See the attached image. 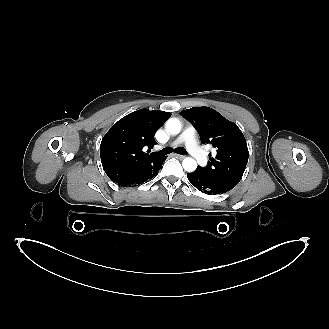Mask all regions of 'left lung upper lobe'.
Instances as JSON below:
<instances>
[{
	"label": "left lung upper lobe",
	"instance_id": "obj_1",
	"mask_svg": "<svg viewBox=\"0 0 329 329\" xmlns=\"http://www.w3.org/2000/svg\"><path fill=\"white\" fill-rule=\"evenodd\" d=\"M181 115L196 128L203 144L210 143L216 148V155L208 165L198 166L197 170L234 188L243 176L249 156L241 130L209 107H193L181 111Z\"/></svg>",
	"mask_w": 329,
	"mask_h": 329
}]
</instances>
